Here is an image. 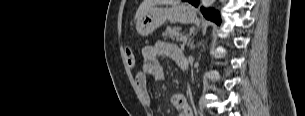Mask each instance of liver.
<instances>
[{
  "mask_svg": "<svg viewBox=\"0 0 305 116\" xmlns=\"http://www.w3.org/2000/svg\"><path fill=\"white\" fill-rule=\"evenodd\" d=\"M180 3V0H143L141 5L139 6L135 20H139V18L152 6L155 5H177Z\"/></svg>",
  "mask_w": 305,
  "mask_h": 116,
  "instance_id": "obj_1",
  "label": "liver"
}]
</instances>
